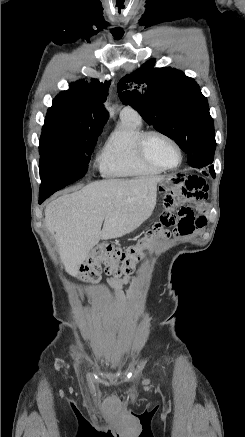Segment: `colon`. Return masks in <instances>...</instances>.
<instances>
[{"label":"colon","instance_id":"obj_1","mask_svg":"<svg viewBox=\"0 0 245 437\" xmlns=\"http://www.w3.org/2000/svg\"><path fill=\"white\" fill-rule=\"evenodd\" d=\"M169 234V229H164L158 221L137 245L126 250L111 244L99 246L82 265L81 278L84 281H97L103 271L113 276L129 274L142 259L143 250L152 247L157 238H166Z\"/></svg>","mask_w":245,"mask_h":437}]
</instances>
